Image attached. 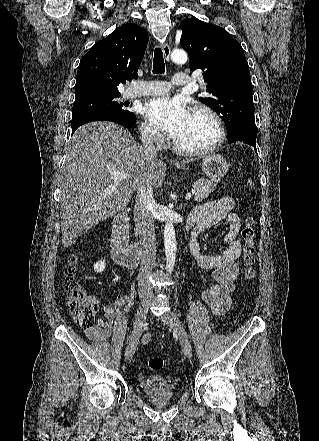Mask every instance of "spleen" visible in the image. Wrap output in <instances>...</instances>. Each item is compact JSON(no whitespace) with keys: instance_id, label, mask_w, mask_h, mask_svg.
<instances>
[{"instance_id":"obj_1","label":"spleen","mask_w":319,"mask_h":441,"mask_svg":"<svg viewBox=\"0 0 319 441\" xmlns=\"http://www.w3.org/2000/svg\"><path fill=\"white\" fill-rule=\"evenodd\" d=\"M248 183L250 184V186L253 185L251 179L248 180Z\"/></svg>"}]
</instances>
